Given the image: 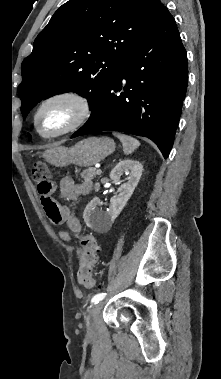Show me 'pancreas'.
Segmentation results:
<instances>
[{
  "label": "pancreas",
  "instance_id": "1",
  "mask_svg": "<svg viewBox=\"0 0 221 379\" xmlns=\"http://www.w3.org/2000/svg\"><path fill=\"white\" fill-rule=\"evenodd\" d=\"M96 175H99V174L94 168H88L81 173V177L85 180H91L94 177H96Z\"/></svg>",
  "mask_w": 221,
  "mask_h": 379
}]
</instances>
